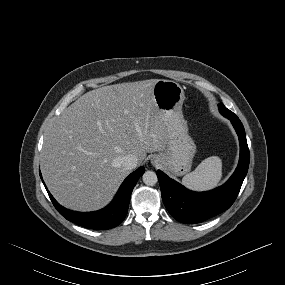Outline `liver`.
<instances>
[{"label": "liver", "mask_w": 285, "mask_h": 285, "mask_svg": "<svg viewBox=\"0 0 285 285\" xmlns=\"http://www.w3.org/2000/svg\"><path fill=\"white\" fill-rule=\"evenodd\" d=\"M157 79L104 86L80 96L48 129L43 178L55 199L76 211L106 206L130 170L123 158L163 151L166 129L153 97Z\"/></svg>", "instance_id": "6515ba94"}]
</instances>
